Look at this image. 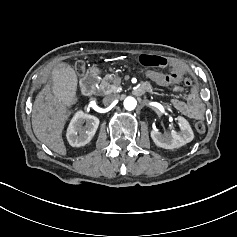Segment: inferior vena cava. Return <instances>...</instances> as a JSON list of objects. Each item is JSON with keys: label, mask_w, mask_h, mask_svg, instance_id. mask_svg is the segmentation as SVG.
Listing matches in <instances>:
<instances>
[{"label": "inferior vena cava", "mask_w": 237, "mask_h": 237, "mask_svg": "<svg viewBox=\"0 0 237 237\" xmlns=\"http://www.w3.org/2000/svg\"><path fill=\"white\" fill-rule=\"evenodd\" d=\"M118 99H119V95L110 94V95H107L103 98V104L104 105H110Z\"/></svg>", "instance_id": "602c4592"}]
</instances>
